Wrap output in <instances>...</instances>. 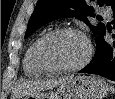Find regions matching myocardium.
I'll return each instance as SVG.
<instances>
[{
    "label": "myocardium",
    "mask_w": 115,
    "mask_h": 99,
    "mask_svg": "<svg viewBox=\"0 0 115 99\" xmlns=\"http://www.w3.org/2000/svg\"><path fill=\"white\" fill-rule=\"evenodd\" d=\"M61 34L77 35L81 37L86 44V54L84 58L76 65L67 66V67L55 66L51 64L50 62H48L44 56L43 49H44V45L46 44V42L50 40L51 38L61 35ZM92 53H93V48H92V44L90 40L88 39V37L81 30L73 28V27L56 28V29H53L45 33L44 35L40 37L35 47L36 62L47 73H69V72L78 71L84 68L90 62Z\"/></svg>",
    "instance_id": "1"
}]
</instances>
